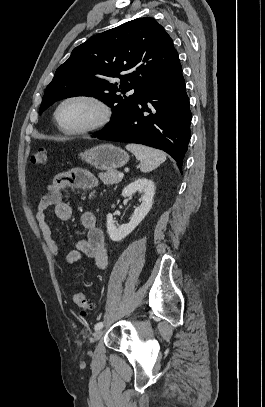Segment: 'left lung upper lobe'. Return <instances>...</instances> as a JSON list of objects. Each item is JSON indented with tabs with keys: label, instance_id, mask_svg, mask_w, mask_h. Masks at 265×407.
<instances>
[{
	"label": "left lung upper lobe",
	"instance_id": "5c2ea615",
	"mask_svg": "<svg viewBox=\"0 0 265 407\" xmlns=\"http://www.w3.org/2000/svg\"><path fill=\"white\" fill-rule=\"evenodd\" d=\"M180 65L164 28L153 18L134 19L76 47L47 86L39 114L58 100L92 96L112 107L111 120L100 132L106 133L130 115L152 83Z\"/></svg>",
	"mask_w": 265,
	"mask_h": 407
}]
</instances>
